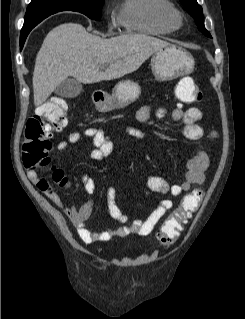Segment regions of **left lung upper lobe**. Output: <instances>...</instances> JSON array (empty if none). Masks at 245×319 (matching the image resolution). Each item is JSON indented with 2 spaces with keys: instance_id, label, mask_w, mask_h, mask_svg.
<instances>
[{
  "instance_id": "obj_1",
  "label": "left lung upper lobe",
  "mask_w": 245,
  "mask_h": 319,
  "mask_svg": "<svg viewBox=\"0 0 245 319\" xmlns=\"http://www.w3.org/2000/svg\"><path fill=\"white\" fill-rule=\"evenodd\" d=\"M187 12L194 18L198 29L206 36L211 37L210 33L204 27L202 7L196 0H180Z\"/></svg>"
}]
</instances>
